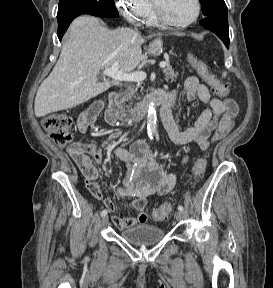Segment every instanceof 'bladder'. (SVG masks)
Instances as JSON below:
<instances>
[{
  "label": "bladder",
  "mask_w": 273,
  "mask_h": 288,
  "mask_svg": "<svg viewBox=\"0 0 273 288\" xmlns=\"http://www.w3.org/2000/svg\"><path fill=\"white\" fill-rule=\"evenodd\" d=\"M164 236L163 229L147 224L136 225L120 233V237L125 242L136 246L155 244L162 240Z\"/></svg>",
  "instance_id": "bladder-1"
}]
</instances>
